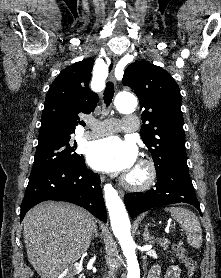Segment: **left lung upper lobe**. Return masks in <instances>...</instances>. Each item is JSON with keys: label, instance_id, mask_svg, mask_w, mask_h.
<instances>
[{"label": "left lung upper lobe", "instance_id": "obj_1", "mask_svg": "<svg viewBox=\"0 0 221 278\" xmlns=\"http://www.w3.org/2000/svg\"><path fill=\"white\" fill-rule=\"evenodd\" d=\"M122 82L139 98L143 110L140 135L156 173L174 161H186L181 94L175 80L159 66L136 61L127 67Z\"/></svg>", "mask_w": 221, "mask_h": 278}]
</instances>
